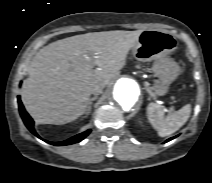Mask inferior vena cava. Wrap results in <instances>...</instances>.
Listing matches in <instances>:
<instances>
[{"mask_svg":"<svg viewBox=\"0 0 212 183\" xmlns=\"http://www.w3.org/2000/svg\"><path fill=\"white\" fill-rule=\"evenodd\" d=\"M104 87L105 86L103 84L95 85L94 88L92 89V94H94V95L101 94Z\"/></svg>","mask_w":212,"mask_h":183,"instance_id":"obj_1","label":"inferior vena cava"}]
</instances>
